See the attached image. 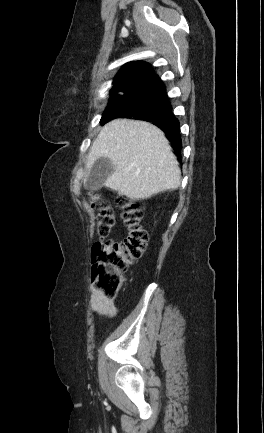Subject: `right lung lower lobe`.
I'll return each instance as SVG.
<instances>
[{
  "label": "right lung lower lobe",
  "mask_w": 264,
  "mask_h": 433,
  "mask_svg": "<svg viewBox=\"0 0 264 433\" xmlns=\"http://www.w3.org/2000/svg\"><path fill=\"white\" fill-rule=\"evenodd\" d=\"M133 110L125 117L145 120L159 127L172 142L178 155L181 152L180 124L172 112L166 88L154 75L141 89L137 102L132 104Z\"/></svg>",
  "instance_id": "right-lung-lower-lobe-1"
}]
</instances>
